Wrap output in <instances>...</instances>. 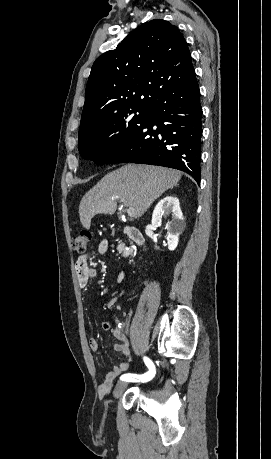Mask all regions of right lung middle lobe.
<instances>
[{
	"label": "right lung middle lobe",
	"instance_id": "obj_1",
	"mask_svg": "<svg viewBox=\"0 0 271 459\" xmlns=\"http://www.w3.org/2000/svg\"><path fill=\"white\" fill-rule=\"evenodd\" d=\"M148 109L149 106L142 105L82 122L78 138L80 155L98 165L108 163L147 118Z\"/></svg>",
	"mask_w": 271,
	"mask_h": 459
}]
</instances>
